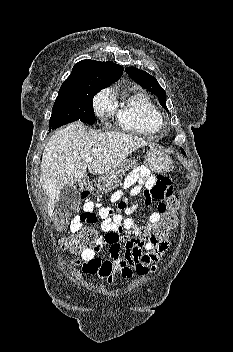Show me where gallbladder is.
Returning a JSON list of instances; mask_svg holds the SVG:
<instances>
[{
    "instance_id": "gallbladder-1",
    "label": "gallbladder",
    "mask_w": 233,
    "mask_h": 352,
    "mask_svg": "<svg viewBox=\"0 0 233 352\" xmlns=\"http://www.w3.org/2000/svg\"><path fill=\"white\" fill-rule=\"evenodd\" d=\"M78 190L76 186H64L61 189L57 209L60 212H69L74 207L77 200Z\"/></svg>"
}]
</instances>
